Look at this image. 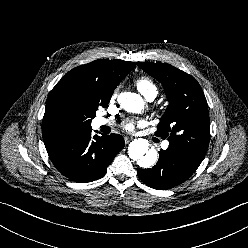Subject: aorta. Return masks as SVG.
Segmentation results:
<instances>
[{"label": "aorta", "mask_w": 248, "mask_h": 248, "mask_svg": "<svg viewBox=\"0 0 248 248\" xmlns=\"http://www.w3.org/2000/svg\"><path fill=\"white\" fill-rule=\"evenodd\" d=\"M118 103L127 112L139 113L143 108L144 102L140 95L124 92L118 96ZM149 142L146 139H134L128 147V155L132 160L143 168H149L156 163L157 152L155 149H149Z\"/></svg>", "instance_id": "obj_1"}]
</instances>
